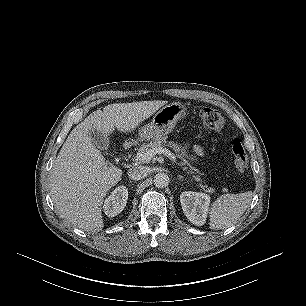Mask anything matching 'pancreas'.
Here are the masks:
<instances>
[{"instance_id": "1", "label": "pancreas", "mask_w": 306, "mask_h": 306, "mask_svg": "<svg viewBox=\"0 0 306 306\" xmlns=\"http://www.w3.org/2000/svg\"><path fill=\"white\" fill-rule=\"evenodd\" d=\"M166 144H168V146L172 147L173 150L176 153V156L181 159L180 162V166H183V170L187 171L188 174H193L194 171H196L195 169L191 168L190 171L187 170V167L185 165H189L188 161L186 160V152L185 150L182 148L181 145H178L175 142H167V137H158L155 138L154 141H151L148 144H143L141 145V147L139 148V153H144L147 152L148 150H152V149H156V148H160L165 146ZM194 170V171H193ZM193 179L197 182H202V179L200 178L199 175H193ZM205 192L207 193H215V189L212 187H208V185H199Z\"/></svg>"}]
</instances>
